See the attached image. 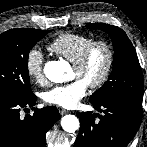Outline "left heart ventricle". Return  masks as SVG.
<instances>
[{"label": "left heart ventricle", "instance_id": "obj_1", "mask_svg": "<svg viewBox=\"0 0 147 147\" xmlns=\"http://www.w3.org/2000/svg\"><path fill=\"white\" fill-rule=\"evenodd\" d=\"M106 64V52L103 48H97L83 70L72 67L70 79H81L87 84L97 80L102 74Z\"/></svg>", "mask_w": 147, "mask_h": 147}]
</instances>
